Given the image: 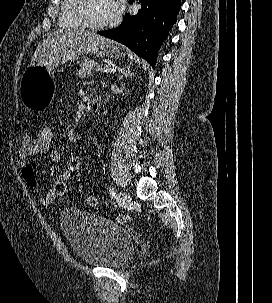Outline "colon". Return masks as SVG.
Wrapping results in <instances>:
<instances>
[{"instance_id": "colon-1", "label": "colon", "mask_w": 272, "mask_h": 303, "mask_svg": "<svg viewBox=\"0 0 272 303\" xmlns=\"http://www.w3.org/2000/svg\"><path fill=\"white\" fill-rule=\"evenodd\" d=\"M37 140L46 147H54L56 139V130L51 123H44L36 136ZM82 165V157L79 154L71 155L68 159V163L65 171L57 178L53 184V191L56 196L63 197L67 193L68 181L70 178L76 174ZM23 176L26 182L33 188L37 187V181L33 170L29 166L23 168ZM87 204L91 208H95L98 204L97 198L95 196H89L87 198Z\"/></svg>"}]
</instances>
